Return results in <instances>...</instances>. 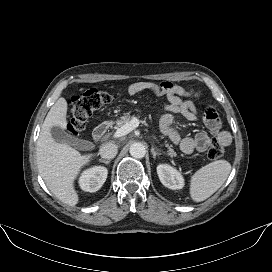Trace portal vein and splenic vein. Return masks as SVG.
Wrapping results in <instances>:
<instances>
[{
  "instance_id": "18ae733b",
  "label": "portal vein and splenic vein",
  "mask_w": 272,
  "mask_h": 272,
  "mask_svg": "<svg viewBox=\"0 0 272 272\" xmlns=\"http://www.w3.org/2000/svg\"><path fill=\"white\" fill-rule=\"evenodd\" d=\"M139 126V121L136 118H133L130 122L126 123L123 125L121 128L117 129L114 134L112 135L113 138L117 139L122 136L127 135L130 133L132 130L137 128ZM155 138V137H154ZM156 139V138H155Z\"/></svg>"
}]
</instances>
